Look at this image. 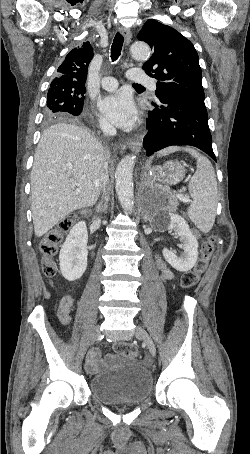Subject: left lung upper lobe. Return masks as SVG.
Listing matches in <instances>:
<instances>
[{"label": "left lung upper lobe", "instance_id": "obj_1", "mask_svg": "<svg viewBox=\"0 0 250 454\" xmlns=\"http://www.w3.org/2000/svg\"><path fill=\"white\" fill-rule=\"evenodd\" d=\"M153 50L143 65L145 72L158 80L157 97H204L201 68L193 44L170 26L149 19L138 35Z\"/></svg>", "mask_w": 250, "mask_h": 454}]
</instances>
